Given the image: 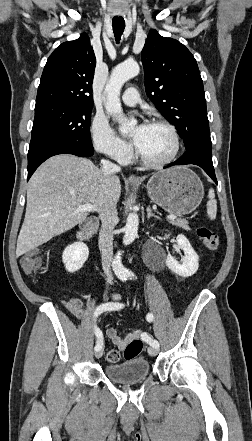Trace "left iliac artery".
<instances>
[{
    "label": "left iliac artery",
    "instance_id": "left-iliac-artery-1",
    "mask_svg": "<svg viewBox=\"0 0 252 441\" xmlns=\"http://www.w3.org/2000/svg\"><path fill=\"white\" fill-rule=\"evenodd\" d=\"M130 276L133 278L135 277L133 273ZM146 319L148 322H152L154 317L151 313H148ZM140 339L143 342H147L152 347L159 348V342L151 337V333L148 330L142 331Z\"/></svg>",
    "mask_w": 252,
    "mask_h": 441
}]
</instances>
